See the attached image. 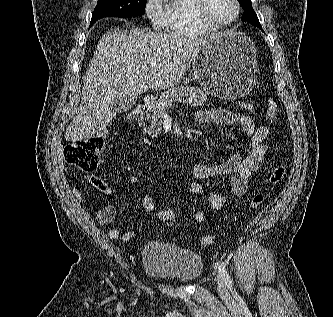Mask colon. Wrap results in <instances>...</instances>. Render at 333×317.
<instances>
[{"label":"colon","mask_w":333,"mask_h":317,"mask_svg":"<svg viewBox=\"0 0 333 317\" xmlns=\"http://www.w3.org/2000/svg\"><path fill=\"white\" fill-rule=\"evenodd\" d=\"M240 107L248 112L253 110L252 103L248 101H241ZM105 147V137L103 134H95L83 140H78L69 144L64 149L65 161L85 172H92L96 170L99 165L101 153ZM287 168L283 164L275 166L269 174L265 188L255 193L250 201L252 208L260 207L265 199L268 189L279 185L285 178ZM154 217L165 224L174 226L176 223L175 212L170 207L156 208ZM215 238L205 237L201 239L203 244H210L214 242Z\"/></svg>","instance_id":"colon-1"}]
</instances>
